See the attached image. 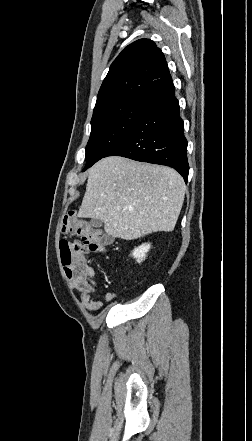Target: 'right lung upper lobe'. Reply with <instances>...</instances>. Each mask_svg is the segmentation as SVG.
<instances>
[{"label":"right lung upper lobe","instance_id":"obj_1","mask_svg":"<svg viewBox=\"0 0 252 441\" xmlns=\"http://www.w3.org/2000/svg\"><path fill=\"white\" fill-rule=\"evenodd\" d=\"M171 81L162 51L149 39L137 40L111 64L93 114L120 103L145 99Z\"/></svg>","mask_w":252,"mask_h":441}]
</instances>
